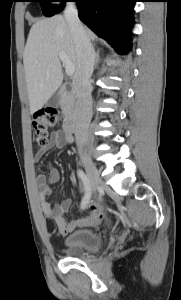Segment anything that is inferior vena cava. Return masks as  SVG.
Instances as JSON below:
<instances>
[{"instance_id":"602c4592","label":"inferior vena cava","mask_w":181,"mask_h":300,"mask_svg":"<svg viewBox=\"0 0 181 300\" xmlns=\"http://www.w3.org/2000/svg\"><path fill=\"white\" fill-rule=\"evenodd\" d=\"M75 43L78 64L73 78L77 96L75 117V140L79 150L86 144L88 128L92 118V86L90 79L94 70L95 52L83 28L74 3H68L64 11Z\"/></svg>"}]
</instances>
